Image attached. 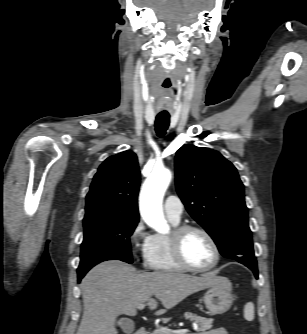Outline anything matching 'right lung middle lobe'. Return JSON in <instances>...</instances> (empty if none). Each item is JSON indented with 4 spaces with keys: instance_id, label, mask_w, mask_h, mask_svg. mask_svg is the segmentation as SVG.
<instances>
[{
    "instance_id": "obj_1",
    "label": "right lung middle lobe",
    "mask_w": 307,
    "mask_h": 334,
    "mask_svg": "<svg viewBox=\"0 0 307 334\" xmlns=\"http://www.w3.org/2000/svg\"><path fill=\"white\" fill-rule=\"evenodd\" d=\"M83 222L84 240L78 274L85 275L93 266L106 260L132 263L130 236L138 221L88 218Z\"/></svg>"
}]
</instances>
